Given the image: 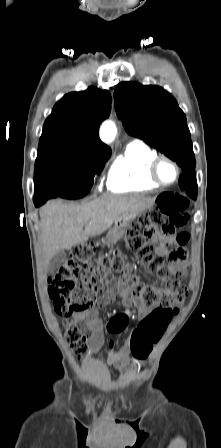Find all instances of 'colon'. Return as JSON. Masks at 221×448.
Listing matches in <instances>:
<instances>
[{"label":"colon","instance_id":"1","mask_svg":"<svg viewBox=\"0 0 221 448\" xmlns=\"http://www.w3.org/2000/svg\"><path fill=\"white\" fill-rule=\"evenodd\" d=\"M156 204V208L132 222L125 233L127 248L136 253L158 281V285L144 283L133 275L125 279L131 294L144 306L154 309L132 333L131 346L136 359H147L152 344L162 337L177 314L176 302L187 292L182 271L175 269L156 251L154 243L159 236L150 228L161 226L165 236L182 231L189 220V201L175 192H166L156 198ZM94 253L89 244L72 247L59 269L49 276L48 295L58 315L68 316L95 305L109 271L124 269L119 252L98 257ZM63 333L71 347L79 350L83 347L85 337L77 326L66 322Z\"/></svg>","mask_w":221,"mask_h":448}]
</instances>
